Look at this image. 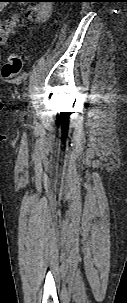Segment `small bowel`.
<instances>
[{"instance_id": "obj_1", "label": "small bowel", "mask_w": 127, "mask_h": 303, "mask_svg": "<svg viewBox=\"0 0 127 303\" xmlns=\"http://www.w3.org/2000/svg\"><path fill=\"white\" fill-rule=\"evenodd\" d=\"M47 2V0H39L29 6L26 12V18L35 22L47 21L52 11L51 5ZM19 26L20 19L16 15L11 17L4 26L0 22V44L5 43L8 37L13 34Z\"/></svg>"}]
</instances>
